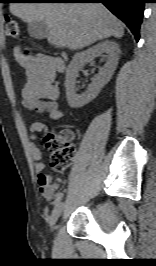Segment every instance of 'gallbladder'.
Returning a JSON list of instances; mask_svg holds the SVG:
<instances>
[{
	"mask_svg": "<svg viewBox=\"0 0 156 266\" xmlns=\"http://www.w3.org/2000/svg\"><path fill=\"white\" fill-rule=\"evenodd\" d=\"M27 30L29 35L35 39H44L49 33V28L44 21L28 23Z\"/></svg>",
	"mask_w": 156,
	"mask_h": 266,
	"instance_id": "1",
	"label": "gallbladder"
}]
</instances>
